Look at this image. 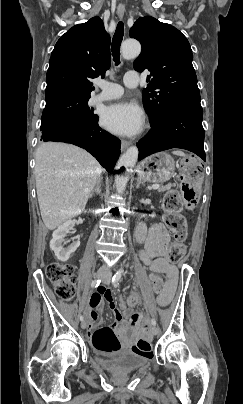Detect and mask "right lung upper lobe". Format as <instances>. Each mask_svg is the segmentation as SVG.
<instances>
[{"label": "right lung upper lobe", "instance_id": "1", "mask_svg": "<svg viewBox=\"0 0 243 404\" xmlns=\"http://www.w3.org/2000/svg\"><path fill=\"white\" fill-rule=\"evenodd\" d=\"M111 64L110 37L102 20L93 17L69 29L56 43L47 71L46 103L90 96V82L102 78Z\"/></svg>", "mask_w": 243, "mask_h": 404}]
</instances>
